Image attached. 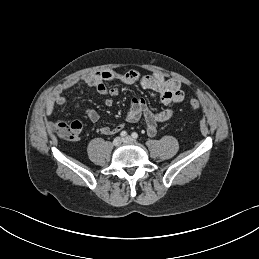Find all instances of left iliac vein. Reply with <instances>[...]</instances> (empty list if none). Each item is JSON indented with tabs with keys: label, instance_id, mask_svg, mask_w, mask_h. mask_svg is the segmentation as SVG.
Wrapping results in <instances>:
<instances>
[{
	"label": "left iliac vein",
	"instance_id": "obj_1",
	"mask_svg": "<svg viewBox=\"0 0 259 259\" xmlns=\"http://www.w3.org/2000/svg\"><path fill=\"white\" fill-rule=\"evenodd\" d=\"M135 140L132 138V137H130V136H127V137H125L124 139H123V142L124 143H132V142H134Z\"/></svg>",
	"mask_w": 259,
	"mask_h": 259
}]
</instances>
